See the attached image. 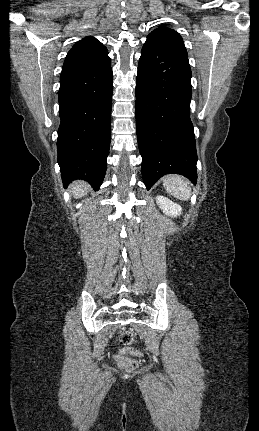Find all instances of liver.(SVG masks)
I'll list each match as a JSON object with an SVG mask.
<instances>
[{
    "label": "liver",
    "mask_w": 259,
    "mask_h": 431,
    "mask_svg": "<svg viewBox=\"0 0 259 431\" xmlns=\"http://www.w3.org/2000/svg\"><path fill=\"white\" fill-rule=\"evenodd\" d=\"M89 190V186L84 182H75L71 187V192L75 198L84 196Z\"/></svg>",
    "instance_id": "6515ba94"
}]
</instances>
